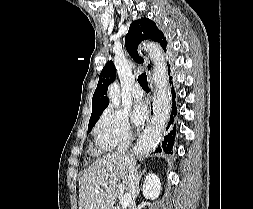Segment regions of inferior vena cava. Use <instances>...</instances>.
Segmentation results:
<instances>
[{
	"mask_svg": "<svg viewBox=\"0 0 253 209\" xmlns=\"http://www.w3.org/2000/svg\"><path fill=\"white\" fill-rule=\"evenodd\" d=\"M131 136H132L131 134H128L122 139L117 149L118 154L126 156V151L128 150V147L131 141ZM126 160L128 163H130L128 158H126ZM129 171H130V179H131V194H132V199L134 200L137 194V177H136V172L134 171V168L132 165L129 166Z\"/></svg>",
	"mask_w": 253,
	"mask_h": 209,
	"instance_id": "inferior-vena-cava-1",
	"label": "inferior vena cava"
}]
</instances>
